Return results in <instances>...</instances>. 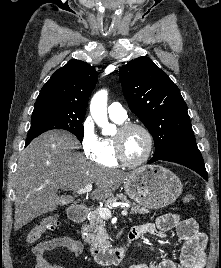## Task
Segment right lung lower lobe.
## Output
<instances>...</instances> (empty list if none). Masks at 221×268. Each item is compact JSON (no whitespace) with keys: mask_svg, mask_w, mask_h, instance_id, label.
<instances>
[{"mask_svg":"<svg viewBox=\"0 0 221 268\" xmlns=\"http://www.w3.org/2000/svg\"><path fill=\"white\" fill-rule=\"evenodd\" d=\"M33 139H34V138H28V139L26 140V144H25V146H27Z\"/></svg>","mask_w":221,"mask_h":268,"instance_id":"obj_1","label":"right lung lower lobe"}]
</instances>
